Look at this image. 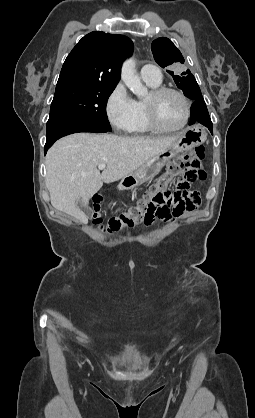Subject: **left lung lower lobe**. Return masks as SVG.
I'll return each mask as SVG.
<instances>
[{"instance_id": "left-lung-lower-lobe-1", "label": "left lung lower lobe", "mask_w": 255, "mask_h": 418, "mask_svg": "<svg viewBox=\"0 0 255 418\" xmlns=\"http://www.w3.org/2000/svg\"><path fill=\"white\" fill-rule=\"evenodd\" d=\"M194 123H201L213 134V125L206 104L203 100L195 101L191 106V118L189 125Z\"/></svg>"}]
</instances>
